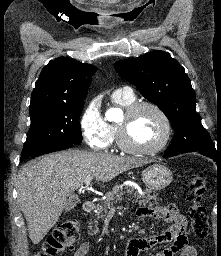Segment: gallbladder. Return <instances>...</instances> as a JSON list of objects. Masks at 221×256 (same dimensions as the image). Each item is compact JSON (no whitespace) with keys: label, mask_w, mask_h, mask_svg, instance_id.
I'll return each instance as SVG.
<instances>
[{"label":"gallbladder","mask_w":221,"mask_h":256,"mask_svg":"<svg viewBox=\"0 0 221 256\" xmlns=\"http://www.w3.org/2000/svg\"><path fill=\"white\" fill-rule=\"evenodd\" d=\"M79 198L77 196H71L68 199L67 206L65 207V212H69L79 203Z\"/></svg>","instance_id":"gallbladder-1"}]
</instances>
